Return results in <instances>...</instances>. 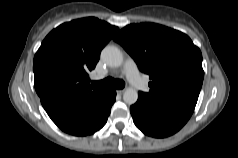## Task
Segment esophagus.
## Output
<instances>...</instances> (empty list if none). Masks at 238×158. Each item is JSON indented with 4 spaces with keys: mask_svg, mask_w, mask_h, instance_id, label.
Listing matches in <instances>:
<instances>
[{
    "mask_svg": "<svg viewBox=\"0 0 238 158\" xmlns=\"http://www.w3.org/2000/svg\"><path fill=\"white\" fill-rule=\"evenodd\" d=\"M124 89H120V90H117L116 92H117V94H119V95H122L123 93H124Z\"/></svg>",
    "mask_w": 238,
    "mask_h": 158,
    "instance_id": "esophagus-1",
    "label": "esophagus"
}]
</instances>
